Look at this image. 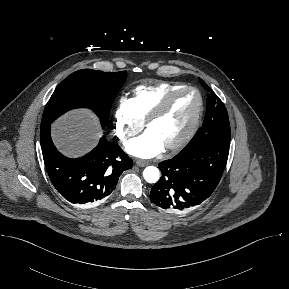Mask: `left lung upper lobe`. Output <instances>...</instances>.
<instances>
[{"label":"left lung upper lobe","instance_id":"5c2ea615","mask_svg":"<svg viewBox=\"0 0 289 289\" xmlns=\"http://www.w3.org/2000/svg\"><path fill=\"white\" fill-rule=\"evenodd\" d=\"M200 82L210 92L207 97V112L204 123L194 138L179 154L205 143L230 144V124L227 110L211 88L201 79Z\"/></svg>","mask_w":289,"mask_h":289}]
</instances>
